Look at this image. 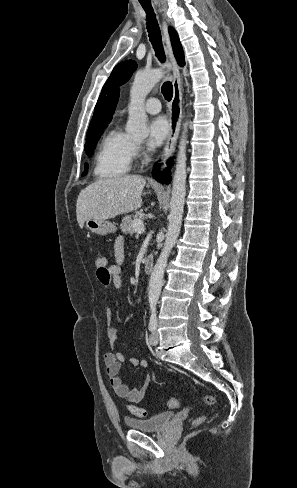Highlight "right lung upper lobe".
Here are the masks:
<instances>
[{"mask_svg": "<svg viewBox=\"0 0 297 488\" xmlns=\"http://www.w3.org/2000/svg\"><path fill=\"white\" fill-rule=\"evenodd\" d=\"M119 99V89L113 91L105 101L94 112L93 118L90 122L87 135L91 134L96 128L108 124L115 111ZM86 135V136H87Z\"/></svg>", "mask_w": 297, "mask_h": 488, "instance_id": "cb5924a9", "label": "right lung upper lobe"}]
</instances>
